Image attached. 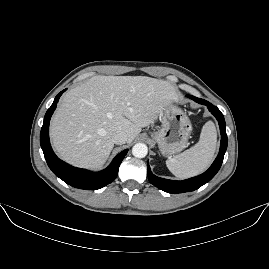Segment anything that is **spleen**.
<instances>
[{"label": "spleen", "instance_id": "1", "mask_svg": "<svg viewBox=\"0 0 269 269\" xmlns=\"http://www.w3.org/2000/svg\"><path fill=\"white\" fill-rule=\"evenodd\" d=\"M215 148L216 129L209 121L203 125L198 143L183 154L167 159L166 165L177 178L196 175L209 166Z\"/></svg>", "mask_w": 269, "mask_h": 269}]
</instances>
